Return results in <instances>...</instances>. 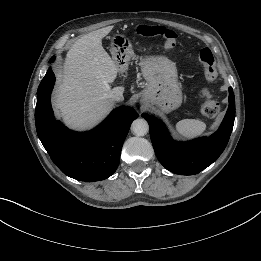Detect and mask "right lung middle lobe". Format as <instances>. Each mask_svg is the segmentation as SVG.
<instances>
[{"mask_svg": "<svg viewBox=\"0 0 261 261\" xmlns=\"http://www.w3.org/2000/svg\"><path fill=\"white\" fill-rule=\"evenodd\" d=\"M54 58H55V57H52V58L50 59V62H52V61L54 60Z\"/></svg>", "mask_w": 261, "mask_h": 261, "instance_id": "1", "label": "right lung middle lobe"}]
</instances>
